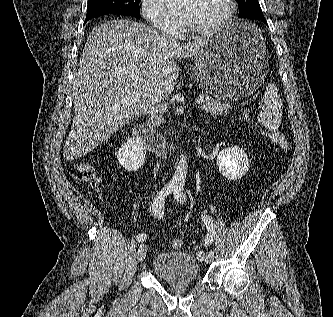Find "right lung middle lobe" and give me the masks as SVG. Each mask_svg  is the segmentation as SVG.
<instances>
[{
  "instance_id": "dd1d6c3e",
  "label": "right lung middle lobe",
  "mask_w": 333,
  "mask_h": 317,
  "mask_svg": "<svg viewBox=\"0 0 333 317\" xmlns=\"http://www.w3.org/2000/svg\"><path fill=\"white\" fill-rule=\"evenodd\" d=\"M141 0H89L86 19L108 13L124 14L139 18V2Z\"/></svg>"
}]
</instances>
